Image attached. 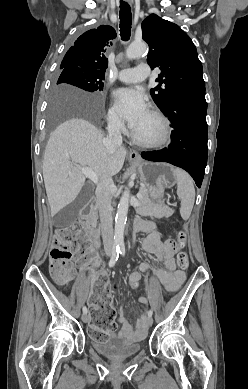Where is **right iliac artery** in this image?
<instances>
[{"mask_svg":"<svg viewBox=\"0 0 248 389\" xmlns=\"http://www.w3.org/2000/svg\"><path fill=\"white\" fill-rule=\"evenodd\" d=\"M118 257H119V251L118 248H116L115 252L113 253L109 261V267H113L115 265L116 261L118 260ZM83 313L85 314L88 313V309L86 308V306L83 307Z\"/></svg>","mask_w":248,"mask_h":389,"instance_id":"right-iliac-artery-1","label":"right iliac artery"}]
</instances>
